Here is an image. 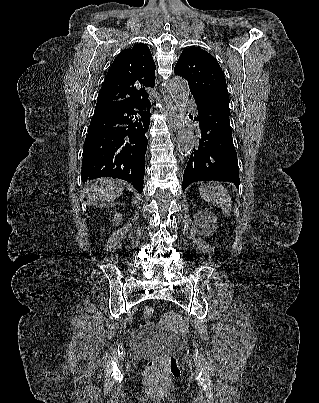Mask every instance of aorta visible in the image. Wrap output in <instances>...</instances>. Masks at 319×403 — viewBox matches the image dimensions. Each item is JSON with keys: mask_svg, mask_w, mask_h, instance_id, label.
Segmentation results:
<instances>
[{"mask_svg": "<svg viewBox=\"0 0 319 403\" xmlns=\"http://www.w3.org/2000/svg\"><path fill=\"white\" fill-rule=\"evenodd\" d=\"M169 93L179 112L178 151L181 155L187 156L195 144L194 132L187 122L186 115V105L189 98L187 81L182 77H173L169 82Z\"/></svg>", "mask_w": 319, "mask_h": 403, "instance_id": "762f6f07", "label": "aorta"}]
</instances>
